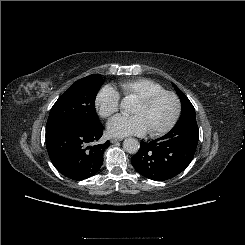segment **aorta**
Returning a JSON list of instances; mask_svg holds the SVG:
<instances>
[{
    "label": "aorta",
    "mask_w": 245,
    "mask_h": 245,
    "mask_svg": "<svg viewBox=\"0 0 245 245\" xmlns=\"http://www.w3.org/2000/svg\"><path fill=\"white\" fill-rule=\"evenodd\" d=\"M125 106V100L121 102V107L123 108ZM139 142L135 138H126L123 142V148L126 152L130 154H136L139 150Z\"/></svg>",
    "instance_id": "1"
}]
</instances>
